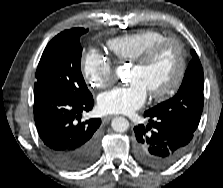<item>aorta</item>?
<instances>
[{"label":"aorta","mask_w":223,"mask_h":188,"mask_svg":"<svg viewBox=\"0 0 223 188\" xmlns=\"http://www.w3.org/2000/svg\"><path fill=\"white\" fill-rule=\"evenodd\" d=\"M125 73L126 70L124 66H119L116 69V75L121 79H124ZM111 126L112 129L116 132H125L129 128V122L124 117H115L111 122Z\"/></svg>","instance_id":"762f6f07"}]
</instances>
